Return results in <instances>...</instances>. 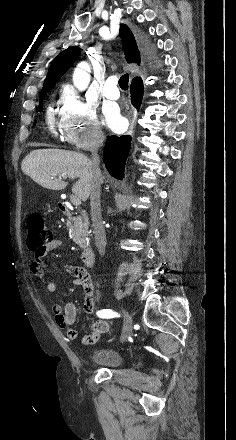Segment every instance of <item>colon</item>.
<instances>
[{"mask_svg": "<svg viewBox=\"0 0 236 440\" xmlns=\"http://www.w3.org/2000/svg\"><path fill=\"white\" fill-rule=\"evenodd\" d=\"M53 238L52 230L45 224L44 218L38 213H31L27 218V244L37 250Z\"/></svg>", "mask_w": 236, "mask_h": 440, "instance_id": "obj_1", "label": "colon"}]
</instances>
